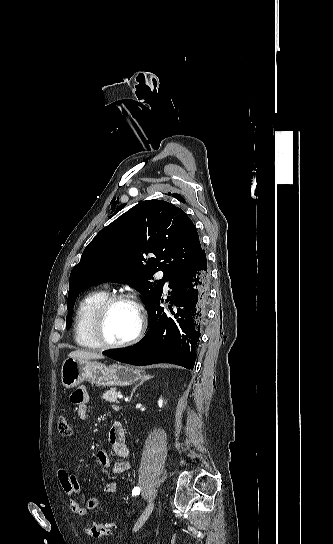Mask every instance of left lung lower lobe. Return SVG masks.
<instances>
[{"label":"left lung lower lobe","instance_id":"1","mask_svg":"<svg viewBox=\"0 0 333 544\" xmlns=\"http://www.w3.org/2000/svg\"><path fill=\"white\" fill-rule=\"evenodd\" d=\"M209 285L210 271L201 249L169 282L172 291L166 299L168 308L159 305L162 297L149 307L150 326L145 337L134 346L103 354L133 365L172 363L193 369Z\"/></svg>","mask_w":333,"mask_h":544}]
</instances>
